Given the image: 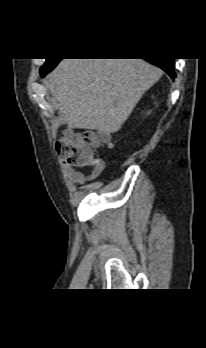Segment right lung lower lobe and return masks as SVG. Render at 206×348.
<instances>
[{
  "label": "right lung lower lobe",
  "instance_id": "1",
  "mask_svg": "<svg viewBox=\"0 0 206 348\" xmlns=\"http://www.w3.org/2000/svg\"><path fill=\"white\" fill-rule=\"evenodd\" d=\"M58 62L60 60H57ZM148 62L160 67L162 70H164L173 80L176 77V74L174 73V59L169 58H153V59H147ZM57 65V64H56ZM55 65V66H56ZM55 66H51L45 70H41L40 73L42 77H44L47 73H49Z\"/></svg>",
  "mask_w": 206,
  "mask_h": 348
}]
</instances>
